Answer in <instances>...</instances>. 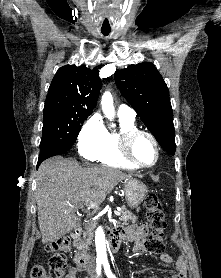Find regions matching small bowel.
Returning <instances> with one entry per match:
<instances>
[{
  "mask_svg": "<svg viewBox=\"0 0 221 278\" xmlns=\"http://www.w3.org/2000/svg\"><path fill=\"white\" fill-rule=\"evenodd\" d=\"M146 226L145 225H132L124 230L125 236L134 241L133 252L135 254L145 253V238H146ZM159 260L163 265H169L172 262V258L167 253H162L159 255ZM80 269L72 267L68 270L65 278H76ZM187 268L184 258L180 257L176 262V272L171 276V278H186ZM153 278V277H147Z\"/></svg>",
  "mask_w": 221,
  "mask_h": 278,
  "instance_id": "small-bowel-1",
  "label": "small bowel"
}]
</instances>
